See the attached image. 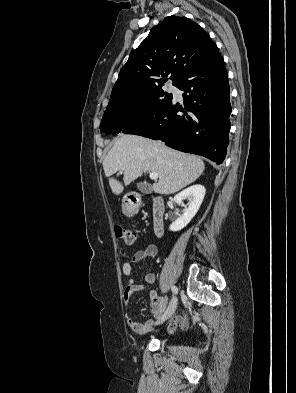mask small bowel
Masks as SVG:
<instances>
[{
  "mask_svg": "<svg viewBox=\"0 0 296 393\" xmlns=\"http://www.w3.org/2000/svg\"><path fill=\"white\" fill-rule=\"evenodd\" d=\"M158 254V247L155 244L147 245L144 249H141L135 252L129 259H127L122 265V271L124 275L129 277L128 283L125 287L123 300L124 306L127 309L132 307V299L138 292L148 291L154 285L156 276L154 273H147L144 277V284H138L132 275V265L134 263H138L140 261L154 258ZM151 304H150V312L154 316V318L159 319L161 314L163 313L166 307V300L164 297L158 295L155 290L150 291ZM127 323L129 328L135 332L136 334H144L153 329L154 321L152 319H148L144 322L136 321L135 319L129 317L127 319ZM185 327V321L181 316H176L170 322L168 329L173 332L176 328Z\"/></svg>",
  "mask_w": 296,
  "mask_h": 393,
  "instance_id": "c3829d8e",
  "label": "small bowel"
}]
</instances>
